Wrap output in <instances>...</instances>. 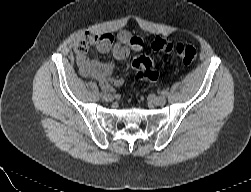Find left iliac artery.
I'll return each mask as SVG.
<instances>
[{
	"mask_svg": "<svg viewBox=\"0 0 251 192\" xmlns=\"http://www.w3.org/2000/svg\"><path fill=\"white\" fill-rule=\"evenodd\" d=\"M161 94H162L163 96H166V95L168 94V91H167V90H163V91L161 92Z\"/></svg>",
	"mask_w": 251,
	"mask_h": 192,
	"instance_id": "obj_1",
	"label": "left iliac artery"
}]
</instances>
